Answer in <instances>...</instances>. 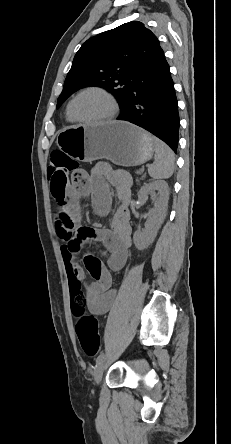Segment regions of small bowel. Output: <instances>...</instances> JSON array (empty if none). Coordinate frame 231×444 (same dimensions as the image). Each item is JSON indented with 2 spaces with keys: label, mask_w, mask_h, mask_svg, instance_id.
I'll list each match as a JSON object with an SVG mask.
<instances>
[{
  "label": "small bowel",
  "mask_w": 231,
  "mask_h": 444,
  "mask_svg": "<svg viewBox=\"0 0 231 444\" xmlns=\"http://www.w3.org/2000/svg\"><path fill=\"white\" fill-rule=\"evenodd\" d=\"M50 184L59 205L55 228L63 241L61 251L69 286L78 283L86 294L89 311L94 315H103L109 311L115 299V290L112 289L113 274L122 271L131 246V178L125 173L114 171L106 164H97L90 173L81 170L75 172L72 179L65 184L56 186L52 180ZM109 185L116 188L120 200L111 227L81 233V228L77 226L79 198L89 197L96 213L106 215L112 201ZM95 243L102 244L105 262L92 254H86L81 262L80 251Z\"/></svg>",
  "instance_id": "1"
}]
</instances>
